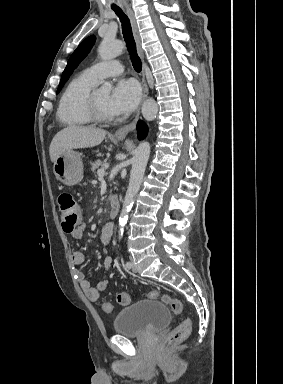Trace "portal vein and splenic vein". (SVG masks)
Listing matches in <instances>:
<instances>
[{
    "instance_id": "portal-vein-and-splenic-vein-1",
    "label": "portal vein and splenic vein",
    "mask_w": 283,
    "mask_h": 384,
    "mask_svg": "<svg viewBox=\"0 0 283 384\" xmlns=\"http://www.w3.org/2000/svg\"><path fill=\"white\" fill-rule=\"evenodd\" d=\"M97 174L99 178H103V176H105V170H98Z\"/></svg>"
}]
</instances>
